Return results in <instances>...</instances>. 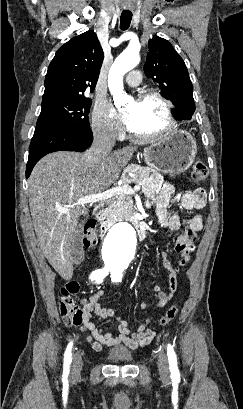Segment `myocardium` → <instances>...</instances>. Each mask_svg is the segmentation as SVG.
<instances>
[{"instance_id": "1", "label": "myocardium", "mask_w": 243, "mask_h": 409, "mask_svg": "<svg viewBox=\"0 0 243 409\" xmlns=\"http://www.w3.org/2000/svg\"><path fill=\"white\" fill-rule=\"evenodd\" d=\"M147 99H155L164 108V113H165V119H166V124L164 128L159 130L158 132L152 133V134H144V135H138L134 134L131 131H129V137L137 142H149V141H154L165 134L169 133L175 126V118L173 114V105L169 99H167L164 95H162L160 92H158L155 89H145L140 92L135 97L136 101H144Z\"/></svg>"}]
</instances>
